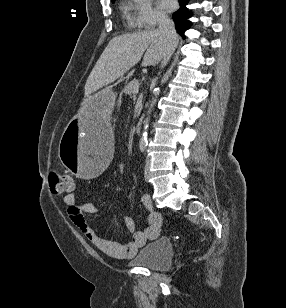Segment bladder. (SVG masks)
<instances>
[{
	"mask_svg": "<svg viewBox=\"0 0 286 308\" xmlns=\"http://www.w3.org/2000/svg\"><path fill=\"white\" fill-rule=\"evenodd\" d=\"M173 244L168 238H159L144 245L129 261L137 267L161 270L171 266Z\"/></svg>",
	"mask_w": 286,
	"mask_h": 308,
	"instance_id": "bladder-1",
	"label": "bladder"
}]
</instances>
